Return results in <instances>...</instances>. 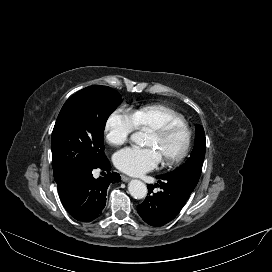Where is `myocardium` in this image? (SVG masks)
I'll return each instance as SVG.
<instances>
[{
	"instance_id": "1",
	"label": "myocardium",
	"mask_w": 272,
	"mask_h": 272,
	"mask_svg": "<svg viewBox=\"0 0 272 272\" xmlns=\"http://www.w3.org/2000/svg\"><path fill=\"white\" fill-rule=\"evenodd\" d=\"M177 132L183 133L184 142L176 154L168 158H164L163 162L168 166L180 163L188 155L192 144V130L186 123H174L151 131L152 134L156 135L160 139H167Z\"/></svg>"
}]
</instances>
